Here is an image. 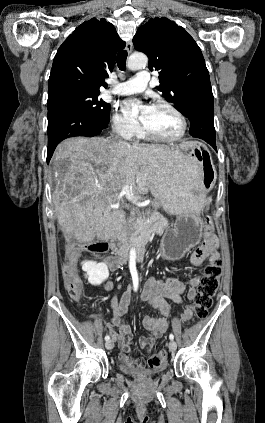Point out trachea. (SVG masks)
<instances>
[{
  "label": "trachea",
  "mask_w": 265,
  "mask_h": 423,
  "mask_svg": "<svg viewBox=\"0 0 265 423\" xmlns=\"http://www.w3.org/2000/svg\"><path fill=\"white\" fill-rule=\"evenodd\" d=\"M126 59H127V51L126 50L120 51L117 54L116 61H117V65H118V67L121 71L125 70Z\"/></svg>",
  "instance_id": "obj_1"
}]
</instances>
